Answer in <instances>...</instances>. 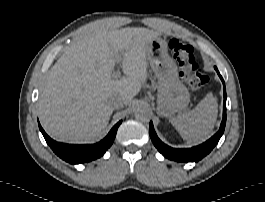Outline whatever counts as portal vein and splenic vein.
I'll return each mask as SVG.
<instances>
[{"mask_svg":"<svg viewBox=\"0 0 265 202\" xmlns=\"http://www.w3.org/2000/svg\"><path fill=\"white\" fill-rule=\"evenodd\" d=\"M120 62H121V56L118 55V56H117V63L120 64ZM120 75H121V72H120L119 70H117L116 72H114V73L112 74V76H113L114 78H118V77H120Z\"/></svg>","mask_w":265,"mask_h":202,"instance_id":"1","label":"portal vein and splenic vein"}]
</instances>
